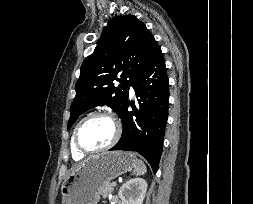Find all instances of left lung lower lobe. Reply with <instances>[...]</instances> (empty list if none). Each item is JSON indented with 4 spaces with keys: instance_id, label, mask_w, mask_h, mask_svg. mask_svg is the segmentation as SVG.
<instances>
[{
    "instance_id": "obj_1",
    "label": "left lung lower lobe",
    "mask_w": 253,
    "mask_h": 204,
    "mask_svg": "<svg viewBox=\"0 0 253 204\" xmlns=\"http://www.w3.org/2000/svg\"><path fill=\"white\" fill-rule=\"evenodd\" d=\"M132 86L138 98L137 106L131 104L134 112H129L127 108L130 102L126 101L119 115L123 123V133L119 142L110 150L136 151L157 172L169 105V79L158 44L152 47Z\"/></svg>"
}]
</instances>
